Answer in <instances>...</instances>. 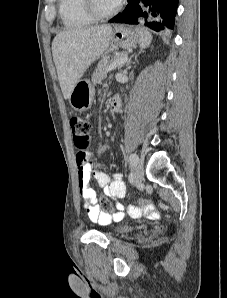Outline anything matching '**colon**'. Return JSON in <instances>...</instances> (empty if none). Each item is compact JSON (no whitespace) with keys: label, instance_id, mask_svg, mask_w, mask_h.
Returning a JSON list of instances; mask_svg holds the SVG:
<instances>
[{"label":"colon","instance_id":"colon-1","mask_svg":"<svg viewBox=\"0 0 227 298\" xmlns=\"http://www.w3.org/2000/svg\"><path fill=\"white\" fill-rule=\"evenodd\" d=\"M70 127L74 140V144L79 152H84L88 148L90 144V130L91 126L89 122L79 116H74L70 119ZM142 202L140 204L142 207H153V202H148L150 200L149 196H144ZM100 204L103 208H105L106 213H112L114 210L111 208V202L106 196H101L99 198ZM136 215L137 213H133Z\"/></svg>","mask_w":227,"mask_h":298}]
</instances>
